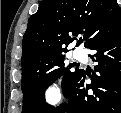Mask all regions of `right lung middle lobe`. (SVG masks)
<instances>
[{
  "label": "right lung middle lobe",
  "mask_w": 121,
  "mask_h": 113,
  "mask_svg": "<svg viewBox=\"0 0 121 113\" xmlns=\"http://www.w3.org/2000/svg\"><path fill=\"white\" fill-rule=\"evenodd\" d=\"M70 66V65H69ZM64 67L61 53L43 56L22 68V92L24 113H51L54 107L45 103L44 92L58 77L63 78V92L70 78L78 71Z\"/></svg>",
  "instance_id": "dd1d6c3e"
}]
</instances>
